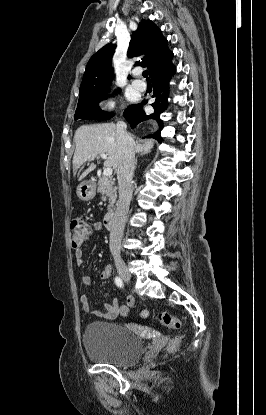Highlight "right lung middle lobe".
<instances>
[{"mask_svg":"<svg viewBox=\"0 0 266 415\" xmlns=\"http://www.w3.org/2000/svg\"><path fill=\"white\" fill-rule=\"evenodd\" d=\"M108 91L109 89L79 97L74 119L106 120L113 117L112 113L103 112L98 105L100 101L106 99Z\"/></svg>","mask_w":266,"mask_h":415,"instance_id":"right-lung-middle-lobe-1","label":"right lung middle lobe"}]
</instances>
